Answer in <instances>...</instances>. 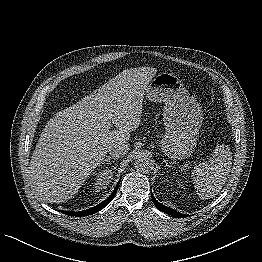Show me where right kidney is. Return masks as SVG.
<instances>
[{
	"label": "right kidney",
	"instance_id": "1",
	"mask_svg": "<svg viewBox=\"0 0 262 262\" xmlns=\"http://www.w3.org/2000/svg\"><path fill=\"white\" fill-rule=\"evenodd\" d=\"M113 175L111 170H106L100 172L96 177V182L94 184V188L96 192H99L102 189H106L107 185H109L110 180L112 179Z\"/></svg>",
	"mask_w": 262,
	"mask_h": 262
}]
</instances>
